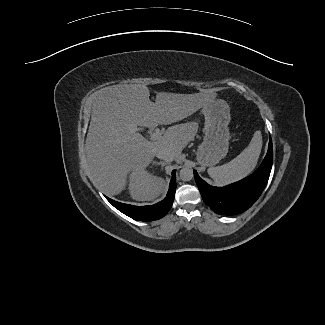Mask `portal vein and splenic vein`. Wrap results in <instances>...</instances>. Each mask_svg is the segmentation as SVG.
Returning <instances> with one entry per match:
<instances>
[{
  "mask_svg": "<svg viewBox=\"0 0 325 325\" xmlns=\"http://www.w3.org/2000/svg\"><path fill=\"white\" fill-rule=\"evenodd\" d=\"M162 137V132L161 131H155L154 133L151 134V139L152 140H158Z\"/></svg>",
  "mask_w": 325,
  "mask_h": 325,
  "instance_id": "obj_1",
  "label": "portal vein and splenic vein"
}]
</instances>
